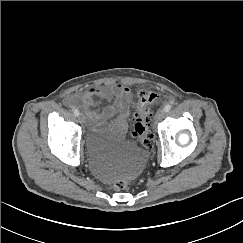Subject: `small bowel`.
<instances>
[{
    "label": "small bowel",
    "instance_id": "obj_1",
    "mask_svg": "<svg viewBox=\"0 0 243 243\" xmlns=\"http://www.w3.org/2000/svg\"><path fill=\"white\" fill-rule=\"evenodd\" d=\"M98 100L107 102V105L101 110H94ZM131 103L132 93L130 89L119 83L90 86L84 91L68 97V104L71 107L84 109L86 114L95 121L111 118L123 133L127 128Z\"/></svg>",
    "mask_w": 243,
    "mask_h": 243
}]
</instances>
